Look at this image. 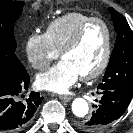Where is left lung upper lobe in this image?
Wrapping results in <instances>:
<instances>
[{
	"label": "left lung upper lobe",
	"instance_id": "obj_1",
	"mask_svg": "<svg viewBox=\"0 0 133 133\" xmlns=\"http://www.w3.org/2000/svg\"><path fill=\"white\" fill-rule=\"evenodd\" d=\"M117 40L100 90H117L133 96V32L128 22L115 9L109 8ZM80 128L84 129L83 121Z\"/></svg>",
	"mask_w": 133,
	"mask_h": 133
}]
</instances>
